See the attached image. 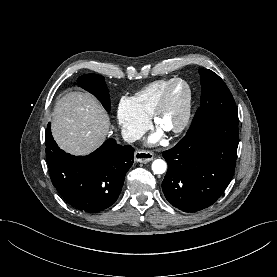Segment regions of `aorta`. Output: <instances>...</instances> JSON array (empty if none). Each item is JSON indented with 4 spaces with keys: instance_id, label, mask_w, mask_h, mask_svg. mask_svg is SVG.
I'll return each mask as SVG.
<instances>
[{
    "instance_id": "aorta-1",
    "label": "aorta",
    "mask_w": 277,
    "mask_h": 277,
    "mask_svg": "<svg viewBox=\"0 0 277 277\" xmlns=\"http://www.w3.org/2000/svg\"><path fill=\"white\" fill-rule=\"evenodd\" d=\"M167 169V164L162 159H156L152 163V171L155 174H163Z\"/></svg>"
}]
</instances>
